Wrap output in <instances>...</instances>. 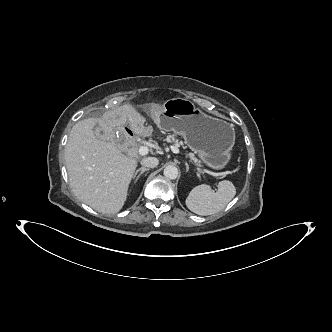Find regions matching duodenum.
Here are the masks:
<instances>
[{"mask_svg": "<svg viewBox=\"0 0 332 332\" xmlns=\"http://www.w3.org/2000/svg\"><path fill=\"white\" fill-rule=\"evenodd\" d=\"M126 133H127V135H128V137H130V138H134V132L131 130V129H126Z\"/></svg>", "mask_w": 332, "mask_h": 332, "instance_id": "duodenum-1", "label": "duodenum"}]
</instances>
